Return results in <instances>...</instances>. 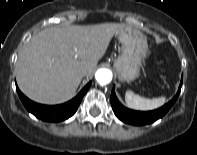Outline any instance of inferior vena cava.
I'll list each match as a JSON object with an SVG mask.
<instances>
[{"mask_svg": "<svg viewBox=\"0 0 197 155\" xmlns=\"http://www.w3.org/2000/svg\"><path fill=\"white\" fill-rule=\"evenodd\" d=\"M80 75H81V76H85V75H86V70H81V71H80Z\"/></svg>", "mask_w": 197, "mask_h": 155, "instance_id": "1", "label": "inferior vena cava"}]
</instances>
